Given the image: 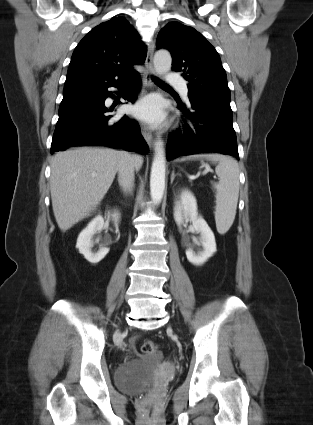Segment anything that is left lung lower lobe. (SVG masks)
<instances>
[{
  "mask_svg": "<svg viewBox=\"0 0 313 425\" xmlns=\"http://www.w3.org/2000/svg\"><path fill=\"white\" fill-rule=\"evenodd\" d=\"M186 107L179 103L190 123L176 130L167 142V158L198 153H221L239 159L236 134L233 129L230 101L220 98H189Z\"/></svg>",
  "mask_w": 313,
  "mask_h": 425,
  "instance_id": "obj_1",
  "label": "left lung lower lobe"
}]
</instances>
